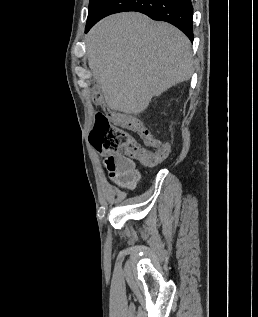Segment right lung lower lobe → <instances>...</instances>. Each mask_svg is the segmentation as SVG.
Listing matches in <instances>:
<instances>
[{"label": "right lung lower lobe", "instance_id": "right-lung-lower-lobe-1", "mask_svg": "<svg viewBox=\"0 0 258 317\" xmlns=\"http://www.w3.org/2000/svg\"><path fill=\"white\" fill-rule=\"evenodd\" d=\"M137 11L179 28L193 42L191 0H91L85 32L100 19L117 12Z\"/></svg>", "mask_w": 258, "mask_h": 317}]
</instances>
